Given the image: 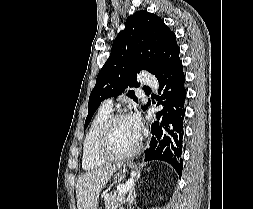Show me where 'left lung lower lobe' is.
Here are the masks:
<instances>
[{
	"instance_id": "obj_1",
	"label": "left lung lower lobe",
	"mask_w": 253,
	"mask_h": 209,
	"mask_svg": "<svg viewBox=\"0 0 253 209\" xmlns=\"http://www.w3.org/2000/svg\"><path fill=\"white\" fill-rule=\"evenodd\" d=\"M159 82L163 97L159 98L158 105H163V109L157 113V118L161 121L151 125L152 137L150 147L145 152V161H165L181 176L186 99L182 62H176Z\"/></svg>"
}]
</instances>
